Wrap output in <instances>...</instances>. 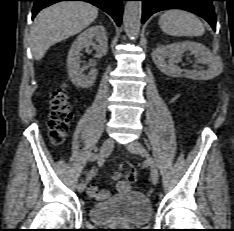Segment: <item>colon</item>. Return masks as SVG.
Listing matches in <instances>:
<instances>
[{
  "label": "colon",
  "mask_w": 234,
  "mask_h": 231,
  "mask_svg": "<svg viewBox=\"0 0 234 231\" xmlns=\"http://www.w3.org/2000/svg\"><path fill=\"white\" fill-rule=\"evenodd\" d=\"M72 118L70 107L67 103L66 94L63 88L57 89L50 100V118L48 126L53 141L61 142L67 132ZM124 177L129 183H135L136 171L129 162H124L119 169L112 174L114 180Z\"/></svg>",
  "instance_id": "obj_1"
}]
</instances>
